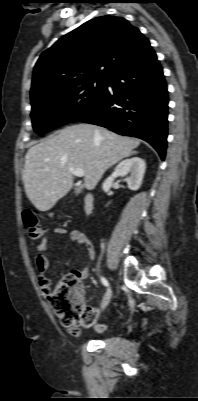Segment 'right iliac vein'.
<instances>
[{
	"label": "right iliac vein",
	"instance_id": "right-iliac-vein-1",
	"mask_svg": "<svg viewBox=\"0 0 198 401\" xmlns=\"http://www.w3.org/2000/svg\"><path fill=\"white\" fill-rule=\"evenodd\" d=\"M112 297V290L110 288L107 289V292L105 294V300H107V304L109 303L110 299Z\"/></svg>",
	"mask_w": 198,
	"mask_h": 401
}]
</instances>
